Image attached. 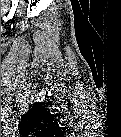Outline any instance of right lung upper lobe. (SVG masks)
I'll list each match as a JSON object with an SVG mask.
<instances>
[{
    "instance_id": "cb5924a9",
    "label": "right lung upper lobe",
    "mask_w": 121,
    "mask_h": 137,
    "mask_svg": "<svg viewBox=\"0 0 121 137\" xmlns=\"http://www.w3.org/2000/svg\"><path fill=\"white\" fill-rule=\"evenodd\" d=\"M19 130L22 135H43L58 132L59 127L50 111L38 103L24 115Z\"/></svg>"
}]
</instances>
